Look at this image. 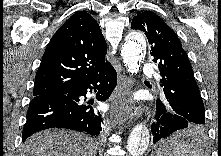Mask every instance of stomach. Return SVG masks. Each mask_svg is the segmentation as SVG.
<instances>
[{
    "label": "stomach",
    "instance_id": "stomach-1",
    "mask_svg": "<svg viewBox=\"0 0 221 156\" xmlns=\"http://www.w3.org/2000/svg\"><path fill=\"white\" fill-rule=\"evenodd\" d=\"M169 154L170 152L165 149L164 145H162L155 150L152 156H170Z\"/></svg>",
    "mask_w": 221,
    "mask_h": 156
}]
</instances>
